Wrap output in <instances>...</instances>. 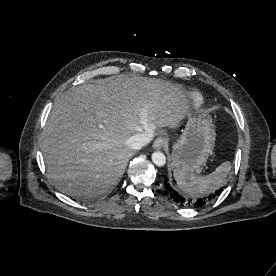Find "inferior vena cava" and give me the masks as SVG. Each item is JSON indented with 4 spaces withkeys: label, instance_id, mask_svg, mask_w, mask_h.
Listing matches in <instances>:
<instances>
[{
    "label": "inferior vena cava",
    "instance_id": "obj_1",
    "mask_svg": "<svg viewBox=\"0 0 276 276\" xmlns=\"http://www.w3.org/2000/svg\"><path fill=\"white\" fill-rule=\"evenodd\" d=\"M152 136L149 133L135 134L128 139V145L134 150H140L151 141Z\"/></svg>",
    "mask_w": 276,
    "mask_h": 276
}]
</instances>
